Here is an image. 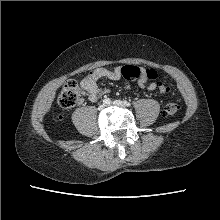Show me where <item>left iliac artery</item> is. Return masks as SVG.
<instances>
[{"label":"left iliac artery","mask_w":220,"mask_h":220,"mask_svg":"<svg viewBox=\"0 0 220 220\" xmlns=\"http://www.w3.org/2000/svg\"><path fill=\"white\" fill-rule=\"evenodd\" d=\"M124 105L125 106H130L131 104L129 102H127V101H124Z\"/></svg>","instance_id":"44dca946"}]
</instances>
